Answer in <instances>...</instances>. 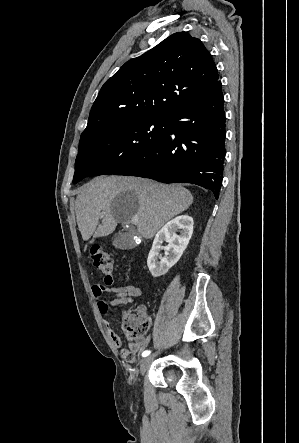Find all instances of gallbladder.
Returning <instances> with one entry per match:
<instances>
[{"mask_svg": "<svg viewBox=\"0 0 299 443\" xmlns=\"http://www.w3.org/2000/svg\"><path fill=\"white\" fill-rule=\"evenodd\" d=\"M132 236L129 232H119L114 237L113 245L118 249H129L134 245Z\"/></svg>", "mask_w": 299, "mask_h": 443, "instance_id": "bac80fb5", "label": "gallbladder"}]
</instances>
